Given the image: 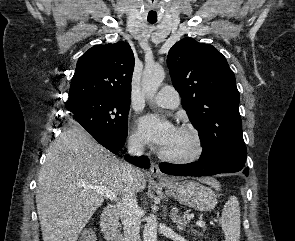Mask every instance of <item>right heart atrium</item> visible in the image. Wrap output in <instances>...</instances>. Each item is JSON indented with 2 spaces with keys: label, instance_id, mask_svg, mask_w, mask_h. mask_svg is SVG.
Segmentation results:
<instances>
[{
  "label": "right heart atrium",
  "instance_id": "1",
  "mask_svg": "<svg viewBox=\"0 0 295 241\" xmlns=\"http://www.w3.org/2000/svg\"><path fill=\"white\" fill-rule=\"evenodd\" d=\"M130 143L136 148L144 147V140L138 131H134L130 136Z\"/></svg>",
  "mask_w": 295,
  "mask_h": 241
}]
</instances>
